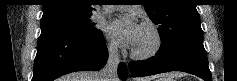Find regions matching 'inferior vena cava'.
Masks as SVG:
<instances>
[{"label":"inferior vena cava","instance_id":"1","mask_svg":"<svg viewBox=\"0 0 237 81\" xmlns=\"http://www.w3.org/2000/svg\"><path fill=\"white\" fill-rule=\"evenodd\" d=\"M119 65L118 49L114 46L108 48V60L100 73V81H117V69Z\"/></svg>","mask_w":237,"mask_h":81}]
</instances>
